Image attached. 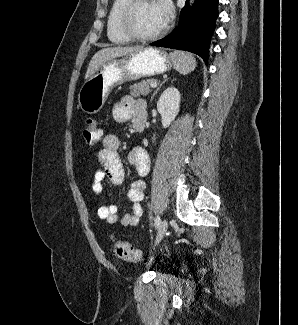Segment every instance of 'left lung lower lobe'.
<instances>
[{"label":"left lung lower lobe","instance_id":"obj_1","mask_svg":"<svg viewBox=\"0 0 298 325\" xmlns=\"http://www.w3.org/2000/svg\"><path fill=\"white\" fill-rule=\"evenodd\" d=\"M219 0H195L192 7L186 3L182 9L179 25L172 33L151 46L190 51L208 64V49L218 16Z\"/></svg>","mask_w":298,"mask_h":325}]
</instances>
